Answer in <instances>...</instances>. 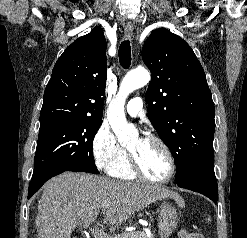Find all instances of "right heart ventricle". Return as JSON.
<instances>
[{"label": "right heart ventricle", "instance_id": "1", "mask_svg": "<svg viewBox=\"0 0 247 238\" xmlns=\"http://www.w3.org/2000/svg\"><path fill=\"white\" fill-rule=\"evenodd\" d=\"M109 174L117 179L121 180H133L136 178L134 172L132 171L130 160L127 156L122 162L115 166Z\"/></svg>", "mask_w": 247, "mask_h": 238}]
</instances>
